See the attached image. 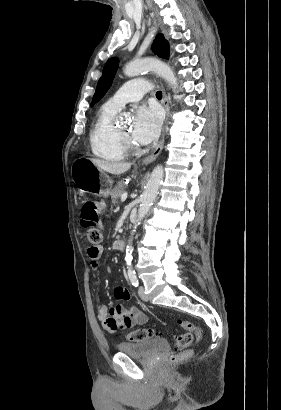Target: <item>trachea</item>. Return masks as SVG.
<instances>
[{"label":"trachea","instance_id":"3493384b","mask_svg":"<svg viewBox=\"0 0 281 410\" xmlns=\"http://www.w3.org/2000/svg\"><path fill=\"white\" fill-rule=\"evenodd\" d=\"M156 97H157V98H162V92H161V91H158V92L156 93Z\"/></svg>","mask_w":281,"mask_h":410}]
</instances>
